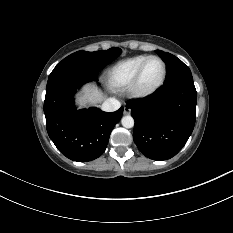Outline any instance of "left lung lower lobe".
<instances>
[{
	"label": "left lung lower lobe",
	"mask_w": 233,
	"mask_h": 233,
	"mask_svg": "<svg viewBox=\"0 0 233 233\" xmlns=\"http://www.w3.org/2000/svg\"><path fill=\"white\" fill-rule=\"evenodd\" d=\"M196 101L193 80H179L129 103L135 120L133 139L138 149L153 160L175 156L193 131Z\"/></svg>",
	"instance_id": "obj_1"
}]
</instances>
